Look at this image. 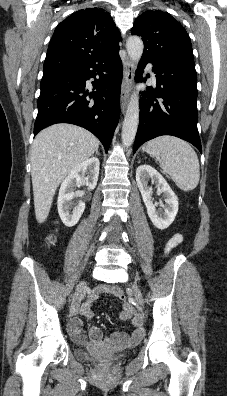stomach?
Masks as SVG:
<instances>
[{"mask_svg":"<svg viewBox=\"0 0 227 396\" xmlns=\"http://www.w3.org/2000/svg\"><path fill=\"white\" fill-rule=\"evenodd\" d=\"M143 151L148 152L147 146L143 148Z\"/></svg>","mask_w":227,"mask_h":396,"instance_id":"obj_1","label":"stomach"}]
</instances>
